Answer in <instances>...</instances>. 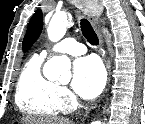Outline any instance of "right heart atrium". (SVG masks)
Listing matches in <instances>:
<instances>
[{
    "mask_svg": "<svg viewBox=\"0 0 145 124\" xmlns=\"http://www.w3.org/2000/svg\"><path fill=\"white\" fill-rule=\"evenodd\" d=\"M59 104L62 110L66 111L76 103L75 96L65 87H59Z\"/></svg>",
    "mask_w": 145,
    "mask_h": 124,
    "instance_id": "d8ad5b80",
    "label": "right heart atrium"
}]
</instances>
